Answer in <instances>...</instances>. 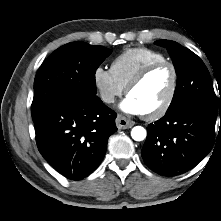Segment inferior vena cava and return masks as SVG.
I'll return each instance as SVG.
<instances>
[{
    "label": "inferior vena cava",
    "mask_w": 221,
    "mask_h": 221,
    "mask_svg": "<svg viewBox=\"0 0 221 221\" xmlns=\"http://www.w3.org/2000/svg\"><path fill=\"white\" fill-rule=\"evenodd\" d=\"M102 100L106 103H114V95L112 94H103Z\"/></svg>",
    "instance_id": "obj_1"
}]
</instances>
